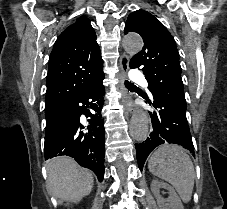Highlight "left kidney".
Instances as JSON below:
<instances>
[{"label": "left kidney", "mask_w": 227, "mask_h": 209, "mask_svg": "<svg viewBox=\"0 0 227 209\" xmlns=\"http://www.w3.org/2000/svg\"><path fill=\"white\" fill-rule=\"evenodd\" d=\"M160 189H166L168 191V199H163L160 195ZM151 191L157 199V205L159 209H184L177 193H175L173 187H170L168 183H160V181H152Z\"/></svg>", "instance_id": "obj_1"}]
</instances>
